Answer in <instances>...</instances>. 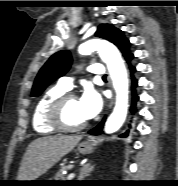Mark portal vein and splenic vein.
Here are the masks:
<instances>
[{"instance_id": "portal-vein-and-splenic-vein-1", "label": "portal vein and splenic vein", "mask_w": 178, "mask_h": 186, "mask_svg": "<svg viewBox=\"0 0 178 186\" xmlns=\"http://www.w3.org/2000/svg\"><path fill=\"white\" fill-rule=\"evenodd\" d=\"M74 177H75V173L73 172V173H70V174L68 175L67 179H68V180H71V179H73Z\"/></svg>"}]
</instances>
